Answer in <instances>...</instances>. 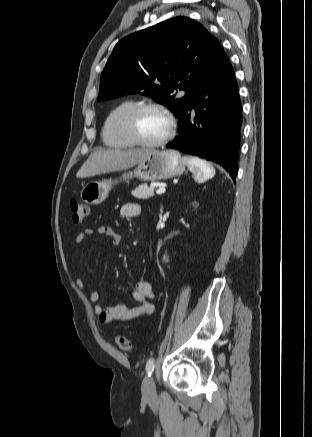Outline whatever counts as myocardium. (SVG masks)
I'll use <instances>...</instances> for the list:
<instances>
[{
  "mask_svg": "<svg viewBox=\"0 0 312 437\" xmlns=\"http://www.w3.org/2000/svg\"><path fill=\"white\" fill-rule=\"evenodd\" d=\"M157 111L165 116L168 121V130L164 137L156 141H147L141 137L138 131V118L147 111ZM126 129L131 140L143 147H160L167 144L175 134L176 123L172 114L162 105L153 102L138 103L130 109L126 116Z\"/></svg>",
  "mask_w": 312,
  "mask_h": 437,
  "instance_id": "myocardium-1",
  "label": "myocardium"
}]
</instances>
